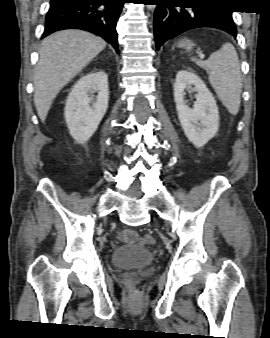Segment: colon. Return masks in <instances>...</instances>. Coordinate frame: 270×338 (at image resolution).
I'll use <instances>...</instances> for the list:
<instances>
[{
	"mask_svg": "<svg viewBox=\"0 0 270 338\" xmlns=\"http://www.w3.org/2000/svg\"><path fill=\"white\" fill-rule=\"evenodd\" d=\"M139 242L142 244L153 245L155 243V239L151 236H143L139 238ZM142 286H143V282L141 281L136 285V289L140 290Z\"/></svg>",
	"mask_w": 270,
	"mask_h": 338,
	"instance_id": "obj_1",
	"label": "colon"
}]
</instances>
